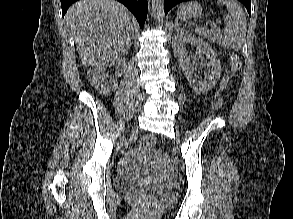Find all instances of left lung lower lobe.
<instances>
[{"label":"left lung lower lobe","instance_id":"left-lung-lower-lobe-1","mask_svg":"<svg viewBox=\"0 0 293 219\" xmlns=\"http://www.w3.org/2000/svg\"><path fill=\"white\" fill-rule=\"evenodd\" d=\"M188 0H164V10L165 14L168 13V11L177 5L180 2H184ZM241 3H243L248 11L249 14H251V0H239Z\"/></svg>","mask_w":293,"mask_h":219}]
</instances>
